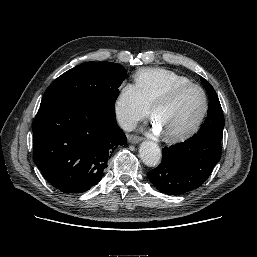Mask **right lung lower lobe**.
Returning <instances> with one entry per match:
<instances>
[{
  "mask_svg": "<svg viewBox=\"0 0 257 257\" xmlns=\"http://www.w3.org/2000/svg\"><path fill=\"white\" fill-rule=\"evenodd\" d=\"M33 159L46 180L64 193L100 182L108 158L126 136L115 110L104 104L60 101L40 107L33 123Z\"/></svg>",
  "mask_w": 257,
  "mask_h": 257,
  "instance_id": "obj_1",
  "label": "right lung lower lobe"
}]
</instances>
